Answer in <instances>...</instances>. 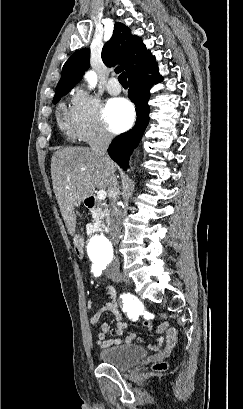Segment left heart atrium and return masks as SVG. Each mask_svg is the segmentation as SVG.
Returning <instances> with one entry per match:
<instances>
[{
    "label": "left heart atrium",
    "instance_id": "left-heart-atrium-1",
    "mask_svg": "<svg viewBox=\"0 0 243 409\" xmlns=\"http://www.w3.org/2000/svg\"><path fill=\"white\" fill-rule=\"evenodd\" d=\"M134 116L132 104L123 98L109 100L103 110V117L114 133L127 130L133 124Z\"/></svg>",
    "mask_w": 243,
    "mask_h": 409
}]
</instances>
